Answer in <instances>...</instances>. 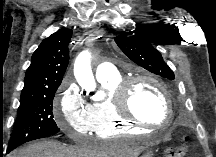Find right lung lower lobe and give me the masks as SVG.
I'll return each mask as SVG.
<instances>
[{
  "mask_svg": "<svg viewBox=\"0 0 216 157\" xmlns=\"http://www.w3.org/2000/svg\"><path fill=\"white\" fill-rule=\"evenodd\" d=\"M14 148L8 147L7 152H10L11 150H13Z\"/></svg>",
  "mask_w": 216,
  "mask_h": 157,
  "instance_id": "obj_1",
  "label": "right lung lower lobe"
}]
</instances>
